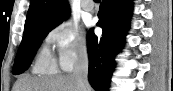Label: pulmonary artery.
<instances>
[{"mask_svg":"<svg viewBox=\"0 0 173 91\" xmlns=\"http://www.w3.org/2000/svg\"><path fill=\"white\" fill-rule=\"evenodd\" d=\"M82 8L85 11H92L94 9V3L92 0L82 1Z\"/></svg>","mask_w":173,"mask_h":91,"instance_id":"e3ab8cb5","label":"pulmonary artery"}]
</instances>
